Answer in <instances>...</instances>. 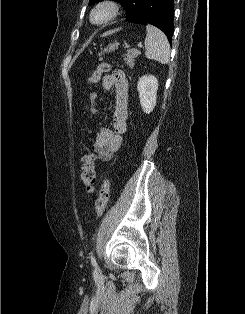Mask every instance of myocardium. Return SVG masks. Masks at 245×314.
<instances>
[{
    "instance_id": "f54148a6",
    "label": "myocardium",
    "mask_w": 245,
    "mask_h": 314,
    "mask_svg": "<svg viewBox=\"0 0 245 314\" xmlns=\"http://www.w3.org/2000/svg\"><path fill=\"white\" fill-rule=\"evenodd\" d=\"M106 10L107 11V17L100 21L97 22L94 20V15L97 11L99 10ZM120 12V4L116 0H101L95 4V6L92 8L90 12V20L93 24L96 25H104L108 24L111 21H113Z\"/></svg>"
}]
</instances>
